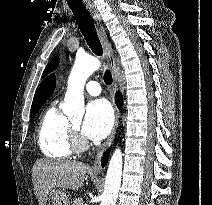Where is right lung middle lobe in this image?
Masks as SVG:
<instances>
[{
  "label": "right lung middle lobe",
  "instance_id": "right-lung-middle-lobe-1",
  "mask_svg": "<svg viewBox=\"0 0 212 205\" xmlns=\"http://www.w3.org/2000/svg\"><path fill=\"white\" fill-rule=\"evenodd\" d=\"M41 107H42V105L32 107V109H31V118L32 119L35 117L36 113L40 110Z\"/></svg>",
  "mask_w": 212,
  "mask_h": 205
}]
</instances>
